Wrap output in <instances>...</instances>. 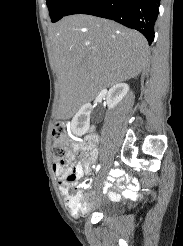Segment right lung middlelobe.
<instances>
[{
  "label": "right lung middle lobe",
  "mask_w": 183,
  "mask_h": 246,
  "mask_svg": "<svg viewBox=\"0 0 183 246\" xmlns=\"http://www.w3.org/2000/svg\"><path fill=\"white\" fill-rule=\"evenodd\" d=\"M75 2L76 0H46L51 21L60 20Z\"/></svg>",
  "instance_id": "dd1d6c3e"
}]
</instances>
